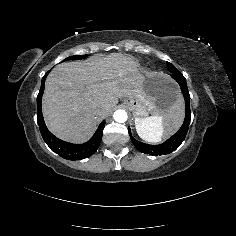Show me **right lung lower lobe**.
Returning a JSON list of instances; mask_svg holds the SVG:
<instances>
[{"instance_id": "98d812e1", "label": "right lung lower lobe", "mask_w": 236, "mask_h": 236, "mask_svg": "<svg viewBox=\"0 0 236 236\" xmlns=\"http://www.w3.org/2000/svg\"><path fill=\"white\" fill-rule=\"evenodd\" d=\"M50 71H48L45 76L42 78L41 88L39 94L37 96V122L39 125V129L41 135L49 146L51 150L57 153L62 158L67 160H82L84 158L90 157L92 154L96 152L99 147V144L102 140L103 129L105 127V121H103L93 137L84 144H72L65 141H62L55 137L53 134L49 132L47 129L42 111H41V99L44 91L45 79Z\"/></svg>"}]
</instances>
